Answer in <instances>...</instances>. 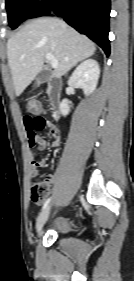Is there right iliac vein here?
Here are the masks:
<instances>
[{
    "label": "right iliac vein",
    "mask_w": 134,
    "mask_h": 281,
    "mask_svg": "<svg viewBox=\"0 0 134 281\" xmlns=\"http://www.w3.org/2000/svg\"><path fill=\"white\" fill-rule=\"evenodd\" d=\"M51 205L46 207L42 213L39 215L38 220H37V224H36V229H37V233H40L44 223L46 222L50 212H51Z\"/></svg>",
    "instance_id": "63e3f726"
}]
</instances>
